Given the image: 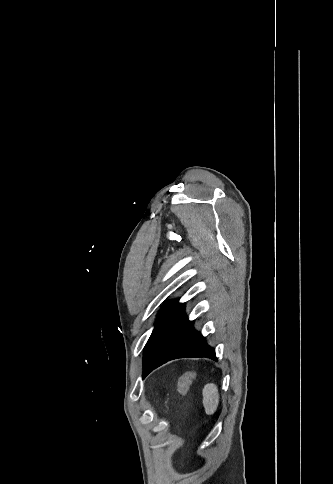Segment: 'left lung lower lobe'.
<instances>
[{
    "mask_svg": "<svg viewBox=\"0 0 333 484\" xmlns=\"http://www.w3.org/2000/svg\"><path fill=\"white\" fill-rule=\"evenodd\" d=\"M185 304L168 302L157 317L155 328L145 346L143 378L167 361L182 357L216 359L215 349L193 327L184 313Z\"/></svg>",
    "mask_w": 333,
    "mask_h": 484,
    "instance_id": "1",
    "label": "left lung lower lobe"
}]
</instances>
